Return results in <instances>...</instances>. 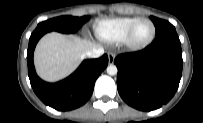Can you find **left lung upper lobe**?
<instances>
[{
    "label": "left lung upper lobe",
    "mask_w": 203,
    "mask_h": 123,
    "mask_svg": "<svg viewBox=\"0 0 203 123\" xmlns=\"http://www.w3.org/2000/svg\"><path fill=\"white\" fill-rule=\"evenodd\" d=\"M153 21L156 29V36L161 35L167 31H175V28L172 24H170L168 21L158 19L156 17H150Z\"/></svg>",
    "instance_id": "1"
}]
</instances>
